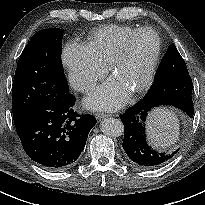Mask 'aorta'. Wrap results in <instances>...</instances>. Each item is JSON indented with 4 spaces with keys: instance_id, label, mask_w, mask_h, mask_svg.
Segmentation results:
<instances>
[{
    "instance_id": "762f6f07",
    "label": "aorta",
    "mask_w": 205,
    "mask_h": 205,
    "mask_svg": "<svg viewBox=\"0 0 205 205\" xmlns=\"http://www.w3.org/2000/svg\"><path fill=\"white\" fill-rule=\"evenodd\" d=\"M102 132L111 137H119L124 133L123 123L116 118H106L101 123Z\"/></svg>"
}]
</instances>
